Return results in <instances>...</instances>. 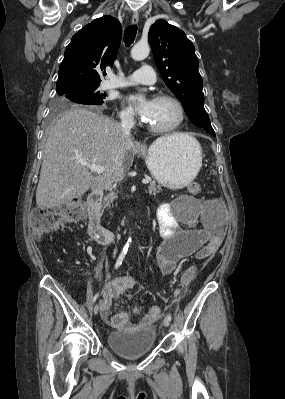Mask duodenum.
Listing matches in <instances>:
<instances>
[{
  "label": "duodenum",
  "instance_id": "410a0bca",
  "mask_svg": "<svg viewBox=\"0 0 285 399\" xmlns=\"http://www.w3.org/2000/svg\"><path fill=\"white\" fill-rule=\"evenodd\" d=\"M103 193L96 189L88 198V230L90 236L99 243L113 242L123 237L118 230H111L101 222L100 205Z\"/></svg>",
  "mask_w": 285,
  "mask_h": 399
}]
</instances>
